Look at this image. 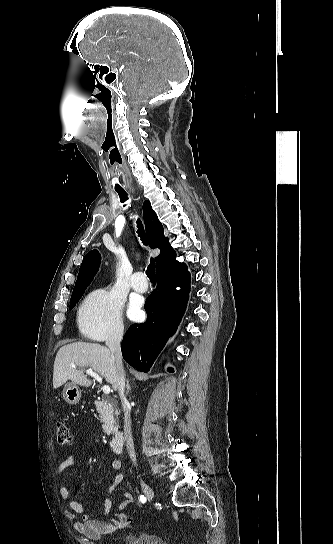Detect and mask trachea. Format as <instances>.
Returning <instances> with one entry per match:
<instances>
[{
	"label": "trachea",
	"instance_id": "3493384b",
	"mask_svg": "<svg viewBox=\"0 0 333 544\" xmlns=\"http://www.w3.org/2000/svg\"><path fill=\"white\" fill-rule=\"evenodd\" d=\"M116 192L118 193V195H119V197L121 199V202H124V201H126L128 199L127 194H126V192L124 190H116ZM137 227H138V230H137L138 236L141 237L142 242L146 245V238H145L144 228H143V225H142L140 220H137ZM146 274H147V276H148V278L150 279L151 282L156 281V279H155V263H154L153 259H151L150 264L147 267Z\"/></svg>",
	"mask_w": 333,
	"mask_h": 544
}]
</instances>
